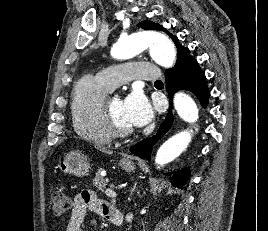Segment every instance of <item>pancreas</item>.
I'll list each match as a JSON object with an SVG mask.
<instances>
[{
  "label": "pancreas",
  "instance_id": "1",
  "mask_svg": "<svg viewBox=\"0 0 268 231\" xmlns=\"http://www.w3.org/2000/svg\"><path fill=\"white\" fill-rule=\"evenodd\" d=\"M102 168L97 169V173L95 175V178L93 179V185L103 191V189L106 187V180L101 175Z\"/></svg>",
  "mask_w": 268,
  "mask_h": 231
}]
</instances>
